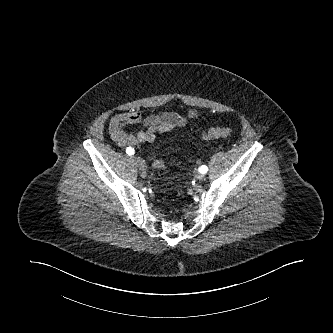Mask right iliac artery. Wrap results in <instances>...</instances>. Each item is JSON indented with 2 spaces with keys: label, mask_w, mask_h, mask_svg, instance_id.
Segmentation results:
<instances>
[{
  "label": "right iliac artery",
  "mask_w": 333,
  "mask_h": 333,
  "mask_svg": "<svg viewBox=\"0 0 333 333\" xmlns=\"http://www.w3.org/2000/svg\"><path fill=\"white\" fill-rule=\"evenodd\" d=\"M126 153L128 155H133L135 153L134 149L132 147H127L126 148Z\"/></svg>",
  "instance_id": "obj_1"
}]
</instances>
